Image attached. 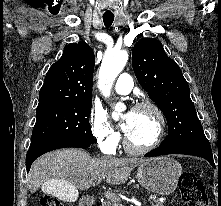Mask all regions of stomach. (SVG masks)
Returning <instances> with one entry per match:
<instances>
[{
	"label": "stomach",
	"mask_w": 221,
	"mask_h": 206,
	"mask_svg": "<svg viewBox=\"0 0 221 206\" xmlns=\"http://www.w3.org/2000/svg\"><path fill=\"white\" fill-rule=\"evenodd\" d=\"M182 174L181 165L170 157L147 159L137 169V179L146 189L158 193H172Z\"/></svg>",
	"instance_id": "obj_1"
}]
</instances>
